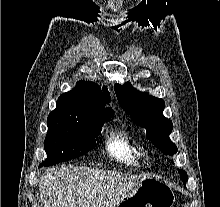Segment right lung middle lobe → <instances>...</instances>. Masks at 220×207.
I'll return each mask as SVG.
<instances>
[{
  "label": "right lung middle lobe",
  "mask_w": 220,
  "mask_h": 207,
  "mask_svg": "<svg viewBox=\"0 0 220 207\" xmlns=\"http://www.w3.org/2000/svg\"><path fill=\"white\" fill-rule=\"evenodd\" d=\"M105 122L71 102L58 100L56 109L48 115L44 141L47 159L40 166L55 165L89 152L96 146Z\"/></svg>",
  "instance_id": "1"
}]
</instances>
